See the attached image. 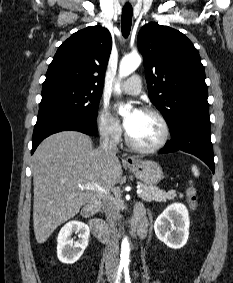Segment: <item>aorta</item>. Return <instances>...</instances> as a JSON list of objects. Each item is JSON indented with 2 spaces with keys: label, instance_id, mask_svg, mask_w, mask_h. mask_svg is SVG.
<instances>
[{
  "label": "aorta",
  "instance_id": "obj_1",
  "mask_svg": "<svg viewBox=\"0 0 233 283\" xmlns=\"http://www.w3.org/2000/svg\"><path fill=\"white\" fill-rule=\"evenodd\" d=\"M141 64V57L137 53L126 55L122 58L119 66V79L129 76ZM119 83L116 84V89L119 90ZM131 109V105L119 107V114L126 115ZM130 245L127 237H124L121 243L120 263L122 265L129 264Z\"/></svg>",
  "mask_w": 233,
  "mask_h": 283
}]
</instances>
